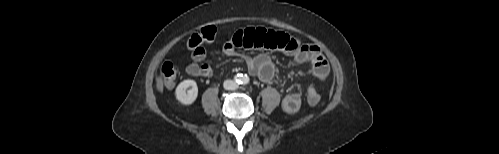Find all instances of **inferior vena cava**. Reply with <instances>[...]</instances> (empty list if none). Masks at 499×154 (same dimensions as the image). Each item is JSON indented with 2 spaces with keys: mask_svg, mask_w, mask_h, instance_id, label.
I'll return each instance as SVG.
<instances>
[{
  "mask_svg": "<svg viewBox=\"0 0 499 154\" xmlns=\"http://www.w3.org/2000/svg\"><path fill=\"white\" fill-rule=\"evenodd\" d=\"M223 87L227 90H235L237 89L238 85L233 80H225L223 83Z\"/></svg>",
  "mask_w": 499,
  "mask_h": 154,
  "instance_id": "obj_1",
  "label": "inferior vena cava"
}]
</instances>
